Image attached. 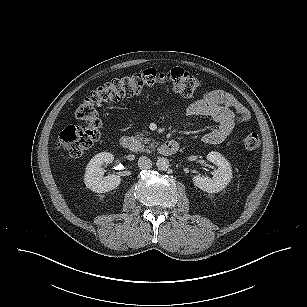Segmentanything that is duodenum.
<instances>
[{
    "label": "duodenum",
    "mask_w": 307,
    "mask_h": 307,
    "mask_svg": "<svg viewBox=\"0 0 307 307\" xmlns=\"http://www.w3.org/2000/svg\"><path fill=\"white\" fill-rule=\"evenodd\" d=\"M120 145L128 151H138L139 147L136 141L130 136H123L120 139ZM179 144L175 140L165 141L159 148V154L162 156H171L177 152Z\"/></svg>",
    "instance_id": "1"
}]
</instances>
